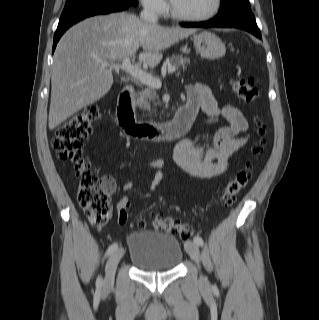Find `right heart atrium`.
<instances>
[{
	"label": "right heart atrium",
	"mask_w": 319,
	"mask_h": 320,
	"mask_svg": "<svg viewBox=\"0 0 319 320\" xmlns=\"http://www.w3.org/2000/svg\"><path fill=\"white\" fill-rule=\"evenodd\" d=\"M144 9L157 16L164 15L167 11V3L165 0H141Z\"/></svg>",
	"instance_id": "obj_1"
}]
</instances>
